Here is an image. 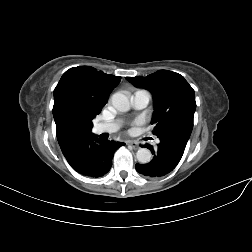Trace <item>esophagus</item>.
<instances>
[{
    "mask_svg": "<svg viewBox=\"0 0 252 252\" xmlns=\"http://www.w3.org/2000/svg\"><path fill=\"white\" fill-rule=\"evenodd\" d=\"M128 144L134 149L137 150L139 148L138 144L136 142L130 141Z\"/></svg>",
    "mask_w": 252,
    "mask_h": 252,
    "instance_id": "obj_1",
    "label": "esophagus"
}]
</instances>
